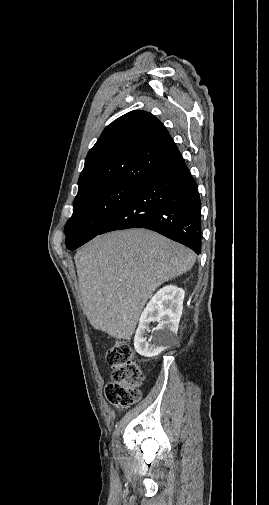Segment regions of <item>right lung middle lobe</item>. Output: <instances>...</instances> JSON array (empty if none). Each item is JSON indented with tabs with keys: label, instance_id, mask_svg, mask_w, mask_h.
Returning a JSON list of instances; mask_svg holds the SVG:
<instances>
[{
	"label": "right lung middle lobe",
	"instance_id": "right-lung-middle-lobe-1",
	"mask_svg": "<svg viewBox=\"0 0 269 505\" xmlns=\"http://www.w3.org/2000/svg\"><path fill=\"white\" fill-rule=\"evenodd\" d=\"M139 187L106 183L78 193L73 214L64 228L66 247L74 250L97 236Z\"/></svg>",
	"mask_w": 269,
	"mask_h": 505
}]
</instances>
